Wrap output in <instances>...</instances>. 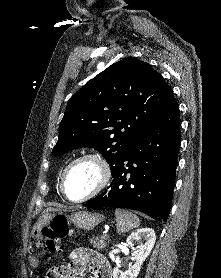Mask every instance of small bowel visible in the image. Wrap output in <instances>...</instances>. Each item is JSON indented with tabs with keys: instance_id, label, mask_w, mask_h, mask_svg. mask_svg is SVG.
Masks as SVG:
<instances>
[{
	"instance_id": "obj_1",
	"label": "small bowel",
	"mask_w": 221,
	"mask_h": 278,
	"mask_svg": "<svg viewBox=\"0 0 221 278\" xmlns=\"http://www.w3.org/2000/svg\"><path fill=\"white\" fill-rule=\"evenodd\" d=\"M87 270L91 278H111V266L108 261L99 253L86 248L72 251L70 260L64 267V278H81Z\"/></svg>"
}]
</instances>
